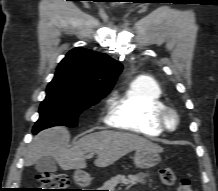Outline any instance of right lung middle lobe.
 I'll use <instances>...</instances> for the list:
<instances>
[{
  "mask_svg": "<svg viewBox=\"0 0 218 191\" xmlns=\"http://www.w3.org/2000/svg\"><path fill=\"white\" fill-rule=\"evenodd\" d=\"M105 96L106 94H84L72 90L53 78L47 86L46 98L40 105V117L33 133L59 125L76 127L79 114Z\"/></svg>",
  "mask_w": 218,
  "mask_h": 191,
  "instance_id": "obj_1",
  "label": "right lung middle lobe"
}]
</instances>
